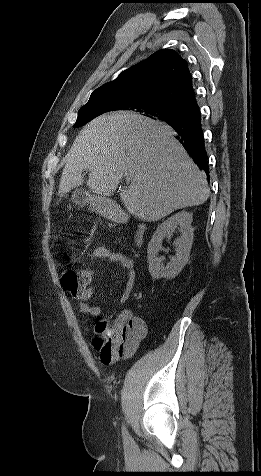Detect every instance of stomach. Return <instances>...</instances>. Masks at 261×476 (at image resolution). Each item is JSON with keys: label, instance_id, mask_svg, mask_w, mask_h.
<instances>
[{"label": "stomach", "instance_id": "1", "mask_svg": "<svg viewBox=\"0 0 261 476\" xmlns=\"http://www.w3.org/2000/svg\"><path fill=\"white\" fill-rule=\"evenodd\" d=\"M71 200L76 205L83 207L89 204L95 211L102 215L112 217L109 209V200L102 196L92 195L83 189H76L72 192Z\"/></svg>", "mask_w": 261, "mask_h": 476}]
</instances>
